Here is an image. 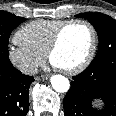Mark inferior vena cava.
<instances>
[{
	"label": "inferior vena cava",
	"instance_id": "1",
	"mask_svg": "<svg viewBox=\"0 0 116 116\" xmlns=\"http://www.w3.org/2000/svg\"><path fill=\"white\" fill-rule=\"evenodd\" d=\"M22 71L26 74L34 75V74L38 73V67H37V65L31 64V65H27V66L23 67Z\"/></svg>",
	"mask_w": 116,
	"mask_h": 116
}]
</instances>
